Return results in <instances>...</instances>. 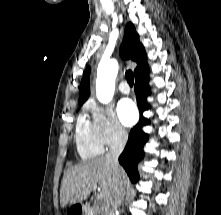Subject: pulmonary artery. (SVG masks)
I'll list each match as a JSON object with an SVG mask.
<instances>
[{"label": "pulmonary artery", "instance_id": "e3ab8cb5", "mask_svg": "<svg viewBox=\"0 0 221 215\" xmlns=\"http://www.w3.org/2000/svg\"><path fill=\"white\" fill-rule=\"evenodd\" d=\"M119 90L121 93L123 94H128L130 92V87L129 85L127 84L126 81H122L120 84H119Z\"/></svg>", "mask_w": 221, "mask_h": 215}]
</instances>
